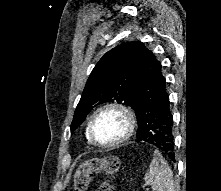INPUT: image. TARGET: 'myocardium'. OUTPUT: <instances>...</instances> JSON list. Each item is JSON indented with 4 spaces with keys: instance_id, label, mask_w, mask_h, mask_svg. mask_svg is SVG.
Wrapping results in <instances>:
<instances>
[{
    "instance_id": "obj_1",
    "label": "myocardium",
    "mask_w": 221,
    "mask_h": 191,
    "mask_svg": "<svg viewBox=\"0 0 221 191\" xmlns=\"http://www.w3.org/2000/svg\"><path fill=\"white\" fill-rule=\"evenodd\" d=\"M106 112H116L122 116L125 122V129L123 134L116 140L108 143L98 142L93 133L94 124L96 119L103 113ZM137 126V119L135 113L126 105L121 103H107L100 107H98L90 117L88 127H87V135L91 143L100 147V148H113L117 147L124 142H126L135 132Z\"/></svg>"
}]
</instances>
